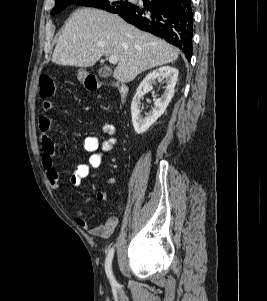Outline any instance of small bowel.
Segmentation results:
<instances>
[{"label": "small bowel", "instance_id": "small-bowel-1", "mask_svg": "<svg viewBox=\"0 0 267 301\" xmlns=\"http://www.w3.org/2000/svg\"><path fill=\"white\" fill-rule=\"evenodd\" d=\"M53 105L48 99H44L41 105V114L38 118V129L40 131V139L42 142L43 156L42 166L46 172L48 182L52 189L58 190L60 188V179L58 172L54 168V157L58 153V148L54 141L49 136L48 132L51 126V120L48 113L51 111ZM101 132L105 137L101 140L98 136H88L83 141V149L89 153L90 156L86 163L78 164L70 177V183L74 187L80 186L82 180L86 178L90 170L98 168L101 165L102 159L109 154L117 143L116 126L113 123L105 122L101 127ZM107 194L105 192H98L96 199L100 202L107 201ZM76 223L83 230L87 231L91 236L102 239L109 238L118 226V217L113 215L109 217L104 224L93 226L85 218L80 211L75 213Z\"/></svg>", "mask_w": 267, "mask_h": 301}]
</instances>
